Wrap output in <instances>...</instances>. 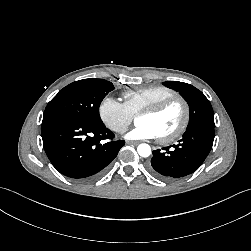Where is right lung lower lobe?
Segmentation results:
<instances>
[{
	"mask_svg": "<svg viewBox=\"0 0 251 251\" xmlns=\"http://www.w3.org/2000/svg\"><path fill=\"white\" fill-rule=\"evenodd\" d=\"M113 137L102 122L52 117L42 123L43 146L52 165L78 181L94 179L106 170L125 144ZM105 139L111 141L103 144Z\"/></svg>",
	"mask_w": 251,
	"mask_h": 251,
	"instance_id": "1",
	"label": "right lung lower lobe"
}]
</instances>
